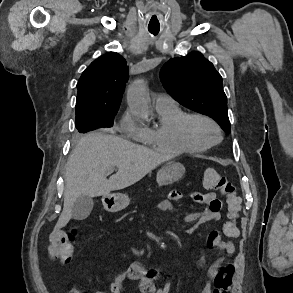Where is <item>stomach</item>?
<instances>
[{"label":"stomach","instance_id":"obj_1","mask_svg":"<svg viewBox=\"0 0 293 293\" xmlns=\"http://www.w3.org/2000/svg\"><path fill=\"white\" fill-rule=\"evenodd\" d=\"M185 173L183 164L175 161L166 163L163 168L157 173V183L159 186H166L178 181ZM106 210L117 212L126 208L130 199L126 194L114 193L105 196L102 199Z\"/></svg>","mask_w":293,"mask_h":293}]
</instances>
